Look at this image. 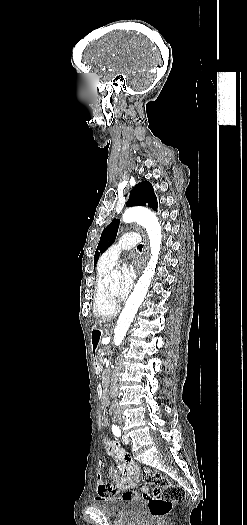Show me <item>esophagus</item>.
<instances>
[{"instance_id":"obj_1","label":"esophagus","mask_w":247,"mask_h":525,"mask_svg":"<svg viewBox=\"0 0 247 525\" xmlns=\"http://www.w3.org/2000/svg\"><path fill=\"white\" fill-rule=\"evenodd\" d=\"M144 253H145V262L141 263L140 273H143L144 268H146V261H147V259L149 257V244H148V242H147V244L145 246Z\"/></svg>"}]
</instances>
